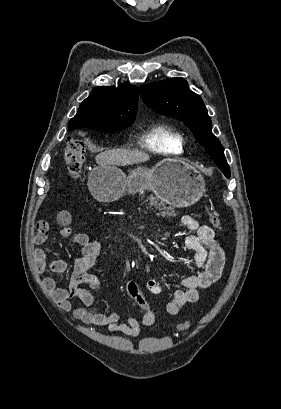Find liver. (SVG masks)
Instances as JSON below:
<instances>
[{
	"mask_svg": "<svg viewBox=\"0 0 281 409\" xmlns=\"http://www.w3.org/2000/svg\"><path fill=\"white\" fill-rule=\"evenodd\" d=\"M97 164H117V166H126V164H136V162H145L149 160V154L142 150H128V148H113L100 152L95 158Z\"/></svg>",
	"mask_w": 281,
	"mask_h": 409,
	"instance_id": "liver-1",
	"label": "liver"
}]
</instances>
